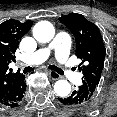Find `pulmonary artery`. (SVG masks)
Masks as SVG:
<instances>
[{"label":"pulmonary artery","mask_w":117,"mask_h":117,"mask_svg":"<svg viewBox=\"0 0 117 117\" xmlns=\"http://www.w3.org/2000/svg\"><path fill=\"white\" fill-rule=\"evenodd\" d=\"M70 43V37L66 33L59 32L47 47L39 49L31 56V61L41 63L54 53L57 61L61 63L60 67L64 75L75 83H79L81 81V75L74 73L68 65Z\"/></svg>","instance_id":"1"}]
</instances>
